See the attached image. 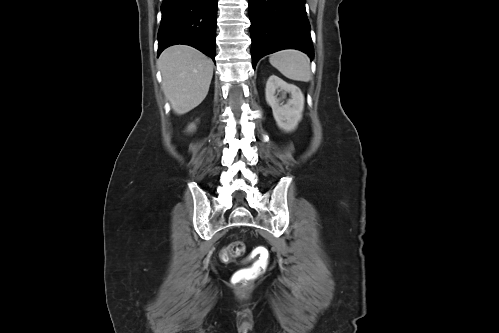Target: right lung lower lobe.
I'll return each instance as SVG.
<instances>
[{"label":"right lung lower lobe","mask_w":499,"mask_h":333,"mask_svg":"<svg viewBox=\"0 0 499 333\" xmlns=\"http://www.w3.org/2000/svg\"><path fill=\"white\" fill-rule=\"evenodd\" d=\"M158 56L175 44L193 46L215 62L217 0H163Z\"/></svg>","instance_id":"right-lung-lower-lobe-1"}]
</instances>
